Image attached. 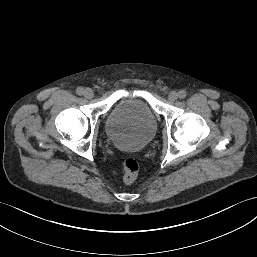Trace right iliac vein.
Here are the masks:
<instances>
[{"label": "right iliac vein", "instance_id": "right-iliac-vein-1", "mask_svg": "<svg viewBox=\"0 0 257 257\" xmlns=\"http://www.w3.org/2000/svg\"><path fill=\"white\" fill-rule=\"evenodd\" d=\"M83 94H84L85 98H87V99H91L94 96V92L90 88L85 89Z\"/></svg>", "mask_w": 257, "mask_h": 257}]
</instances>
